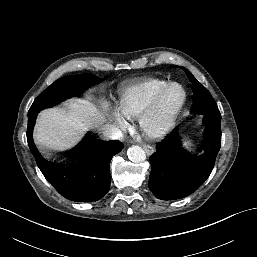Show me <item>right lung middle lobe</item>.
<instances>
[{"instance_id": "right-lung-middle-lobe-1", "label": "right lung middle lobe", "mask_w": 257, "mask_h": 257, "mask_svg": "<svg viewBox=\"0 0 257 257\" xmlns=\"http://www.w3.org/2000/svg\"><path fill=\"white\" fill-rule=\"evenodd\" d=\"M98 80L99 78L95 75L83 74L68 76L55 81L35 99L28 112V118L36 119L41 108L56 104L69 94L80 92Z\"/></svg>"}]
</instances>
